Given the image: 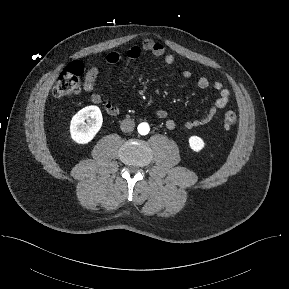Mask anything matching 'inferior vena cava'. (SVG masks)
I'll return each instance as SVG.
<instances>
[{"label":"inferior vena cava","instance_id":"602c4592","mask_svg":"<svg viewBox=\"0 0 289 289\" xmlns=\"http://www.w3.org/2000/svg\"><path fill=\"white\" fill-rule=\"evenodd\" d=\"M121 130L123 132H131L133 131L134 127H135V123L132 119H124L122 122H121Z\"/></svg>","mask_w":289,"mask_h":289}]
</instances>
